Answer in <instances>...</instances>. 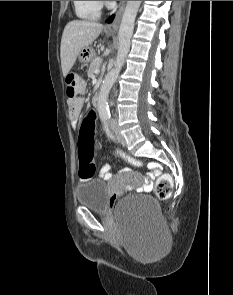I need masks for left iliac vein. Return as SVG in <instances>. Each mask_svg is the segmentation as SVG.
<instances>
[{
	"mask_svg": "<svg viewBox=\"0 0 233 295\" xmlns=\"http://www.w3.org/2000/svg\"><path fill=\"white\" fill-rule=\"evenodd\" d=\"M114 130H115V133H116V135H117V137H118L120 143H121L123 146H125V145H126V141H125L124 137L120 134V132L118 131V129H117L116 127L114 128Z\"/></svg>",
	"mask_w": 233,
	"mask_h": 295,
	"instance_id": "4c4485c4",
	"label": "left iliac vein"
}]
</instances>
